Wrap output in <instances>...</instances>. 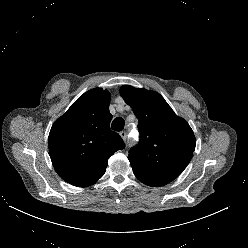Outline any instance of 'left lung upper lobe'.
<instances>
[{
    "label": "left lung upper lobe",
    "instance_id": "obj_1",
    "mask_svg": "<svg viewBox=\"0 0 248 248\" xmlns=\"http://www.w3.org/2000/svg\"><path fill=\"white\" fill-rule=\"evenodd\" d=\"M120 94L138 118L140 140L128 156L135 176L148 186L168 184L193 156L196 140L191 127L157 92L124 85Z\"/></svg>",
    "mask_w": 248,
    "mask_h": 248
}]
</instances>
